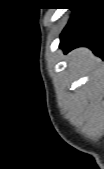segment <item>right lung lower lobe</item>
Returning <instances> with one entry per match:
<instances>
[{"instance_id":"98d812e1","label":"right lung lower lobe","mask_w":104,"mask_h":169,"mask_svg":"<svg viewBox=\"0 0 104 169\" xmlns=\"http://www.w3.org/2000/svg\"><path fill=\"white\" fill-rule=\"evenodd\" d=\"M60 48L65 53L86 46L97 56L104 58V13L93 7L74 8L67 26L60 35Z\"/></svg>"}]
</instances>
